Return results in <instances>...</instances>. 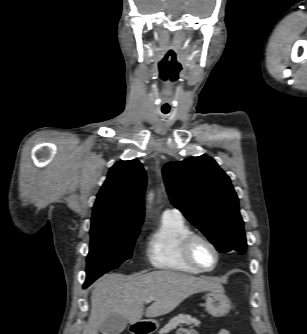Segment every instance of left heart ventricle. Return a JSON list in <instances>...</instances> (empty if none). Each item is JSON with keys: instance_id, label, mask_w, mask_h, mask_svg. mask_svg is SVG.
<instances>
[{"instance_id": "1", "label": "left heart ventricle", "mask_w": 307, "mask_h": 334, "mask_svg": "<svg viewBox=\"0 0 307 334\" xmlns=\"http://www.w3.org/2000/svg\"><path fill=\"white\" fill-rule=\"evenodd\" d=\"M193 254L196 261L205 268L211 267L215 262L213 250L204 242L197 241L193 247Z\"/></svg>"}]
</instances>
